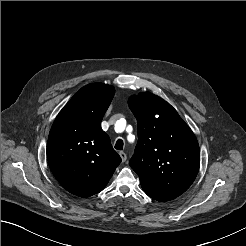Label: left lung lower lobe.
I'll return each mask as SVG.
<instances>
[{
  "label": "left lung lower lobe",
  "mask_w": 246,
  "mask_h": 246,
  "mask_svg": "<svg viewBox=\"0 0 246 246\" xmlns=\"http://www.w3.org/2000/svg\"><path fill=\"white\" fill-rule=\"evenodd\" d=\"M142 188L148 196L160 202L169 201L177 197L175 195L165 193L150 186L142 185Z\"/></svg>",
  "instance_id": "left-lung-lower-lobe-1"
}]
</instances>
